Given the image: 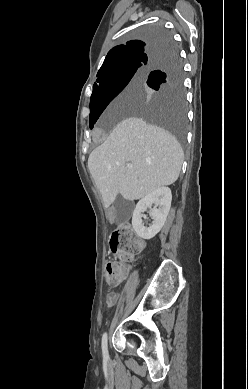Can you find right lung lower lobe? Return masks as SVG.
I'll use <instances>...</instances> for the list:
<instances>
[{
    "label": "right lung lower lobe",
    "instance_id": "1",
    "mask_svg": "<svg viewBox=\"0 0 248 389\" xmlns=\"http://www.w3.org/2000/svg\"><path fill=\"white\" fill-rule=\"evenodd\" d=\"M166 43L165 41H163V40H158V41H156V43ZM165 49H164V52H163V54L164 53H167V52H169L173 47H175L174 46V44L173 43H166L164 46H163ZM162 54V55H163ZM164 74V72L163 71H159V70H156V71H153V72H151L150 74H149V76L148 77H160V76H162Z\"/></svg>",
    "mask_w": 248,
    "mask_h": 389
}]
</instances>
